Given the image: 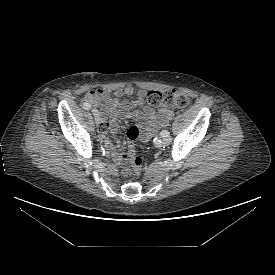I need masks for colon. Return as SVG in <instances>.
I'll return each mask as SVG.
<instances>
[{"label": "colon", "mask_w": 275, "mask_h": 275, "mask_svg": "<svg viewBox=\"0 0 275 275\" xmlns=\"http://www.w3.org/2000/svg\"><path fill=\"white\" fill-rule=\"evenodd\" d=\"M94 94V91H89L86 93V98L90 99ZM147 101L152 106H167L174 108H184L189 104L188 96L184 92L174 89L149 91L147 93ZM126 134L129 141L126 161L127 166L132 170L134 175L138 176L141 172L142 159L136 155L134 143L140 135V129L136 125L130 126Z\"/></svg>", "instance_id": "colon-1"}]
</instances>
